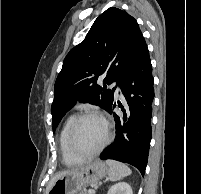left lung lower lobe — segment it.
<instances>
[{"label": "left lung lower lobe", "mask_w": 201, "mask_h": 194, "mask_svg": "<svg viewBox=\"0 0 201 194\" xmlns=\"http://www.w3.org/2000/svg\"><path fill=\"white\" fill-rule=\"evenodd\" d=\"M154 81L149 51L145 40L139 47L119 87L127 101L128 111L124 122L113 112L116 104L108 110L116 122V137L101 154V159H114L135 166L142 175L148 161L152 135L151 118L154 98Z\"/></svg>", "instance_id": "1"}]
</instances>
